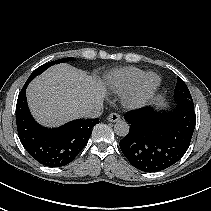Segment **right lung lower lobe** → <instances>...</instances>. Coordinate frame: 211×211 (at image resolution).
I'll list each match as a JSON object with an SVG mask.
<instances>
[{
    "label": "right lung lower lobe",
    "mask_w": 211,
    "mask_h": 211,
    "mask_svg": "<svg viewBox=\"0 0 211 211\" xmlns=\"http://www.w3.org/2000/svg\"><path fill=\"white\" fill-rule=\"evenodd\" d=\"M25 83L16 104L19 139L26 151L39 163L60 167L70 163L86 146L99 119L73 120L58 128H45L31 116L26 99Z\"/></svg>",
    "instance_id": "right-lung-lower-lobe-1"
}]
</instances>
